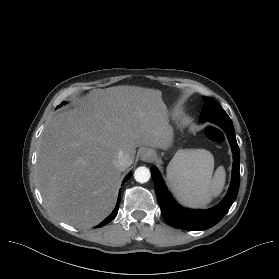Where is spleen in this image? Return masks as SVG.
Listing matches in <instances>:
<instances>
[{
	"instance_id": "1",
	"label": "spleen",
	"mask_w": 279,
	"mask_h": 279,
	"mask_svg": "<svg viewBox=\"0 0 279 279\" xmlns=\"http://www.w3.org/2000/svg\"><path fill=\"white\" fill-rule=\"evenodd\" d=\"M213 155L205 149L180 151L167 168V180L176 198L185 206L204 208L225 185L226 173L219 166L214 175Z\"/></svg>"
}]
</instances>
